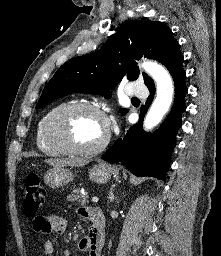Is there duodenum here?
I'll list each match as a JSON object with an SVG mask.
<instances>
[{"instance_id": "duodenum-1", "label": "duodenum", "mask_w": 221, "mask_h": 256, "mask_svg": "<svg viewBox=\"0 0 221 256\" xmlns=\"http://www.w3.org/2000/svg\"><path fill=\"white\" fill-rule=\"evenodd\" d=\"M94 235L103 240L104 237V215L101 210L96 209L92 217Z\"/></svg>"}]
</instances>
